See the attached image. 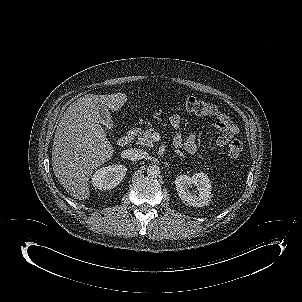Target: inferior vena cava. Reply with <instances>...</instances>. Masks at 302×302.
Returning a JSON list of instances; mask_svg holds the SVG:
<instances>
[{
	"label": "inferior vena cava",
	"instance_id": "inferior-vena-cava-1",
	"mask_svg": "<svg viewBox=\"0 0 302 302\" xmlns=\"http://www.w3.org/2000/svg\"><path fill=\"white\" fill-rule=\"evenodd\" d=\"M123 156L124 158L129 159L131 161H136V160L143 159L145 156V152L142 151L141 149L130 148L123 151Z\"/></svg>",
	"mask_w": 302,
	"mask_h": 302
}]
</instances>
